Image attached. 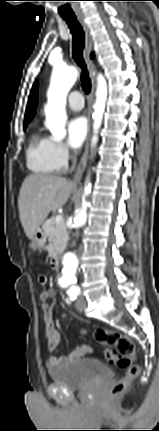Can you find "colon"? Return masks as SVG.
Returning <instances> with one entry per match:
<instances>
[{
  "label": "colon",
  "mask_w": 159,
  "mask_h": 431,
  "mask_svg": "<svg viewBox=\"0 0 159 431\" xmlns=\"http://www.w3.org/2000/svg\"><path fill=\"white\" fill-rule=\"evenodd\" d=\"M55 291L56 288L53 285L48 287L49 303L55 302ZM93 335L100 344L111 348L106 347L103 350L108 366H113V363H116L125 369L124 376L116 381L110 389V397L116 398L126 390L139 374V368L132 364L136 354L134 342L129 337L109 329H96Z\"/></svg>",
  "instance_id": "5ec220e1"
}]
</instances>
